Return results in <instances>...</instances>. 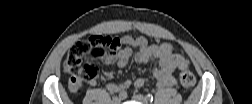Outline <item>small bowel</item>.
I'll list each match as a JSON object with an SVG mask.
<instances>
[{"mask_svg": "<svg viewBox=\"0 0 252 104\" xmlns=\"http://www.w3.org/2000/svg\"><path fill=\"white\" fill-rule=\"evenodd\" d=\"M123 47L119 48L113 55L103 59L104 64H116L119 68L127 66L128 61L132 55L131 47L137 48L134 59L139 64H151L153 67V74L157 80L159 87H173L177 85L175 77L176 69H185L188 67L186 60L177 54L174 47L169 42L161 44H149L143 37L133 39L125 36L121 39ZM91 87L96 85V78L87 81ZM148 84L146 78H138L134 81L135 88H143ZM131 86V81L126 80L121 83L110 82L106 84V89L112 94L124 92Z\"/></svg>", "mask_w": 252, "mask_h": 104, "instance_id": "c3829d8e", "label": "small bowel"}]
</instances>
